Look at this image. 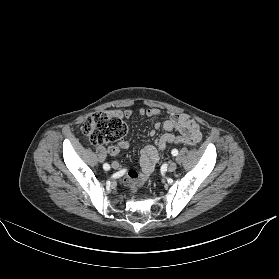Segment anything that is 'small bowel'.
Listing matches in <instances>:
<instances>
[{"label": "small bowel", "instance_id": "1", "mask_svg": "<svg viewBox=\"0 0 279 279\" xmlns=\"http://www.w3.org/2000/svg\"><path fill=\"white\" fill-rule=\"evenodd\" d=\"M138 113L141 116L150 118H159L161 113L156 108H140ZM120 117L130 119L134 114L132 109L117 111ZM162 128L165 132L157 140L155 145H147L141 151L140 166L141 170H129L122 178V183L132 192H135L138 187L142 186L149 175L153 172L157 161L159 160L160 152L164 151L167 144L174 143L177 137H184L199 143L202 139L200 126L195 121L191 120L188 115L172 114L169 119L163 123L156 121L150 131V135H155L156 131ZM178 134L175 135L173 132ZM129 146V141L124 139L108 148V152L112 156H117L123 149Z\"/></svg>", "mask_w": 279, "mask_h": 279}]
</instances>
